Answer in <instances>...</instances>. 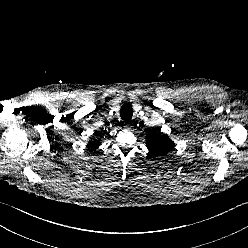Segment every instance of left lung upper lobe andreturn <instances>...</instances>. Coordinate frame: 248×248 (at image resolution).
Returning <instances> with one entry per match:
<instances>
[{"mask_svg": "<svg viewBox=\"0 0 248 248\" xmlns=\"http://www.w3.org/2000/svg\"><path fill=\"white\" fill-rule=\"evenodd\" d=\"M160 129H149L146 132V146L154 156H163L173 149L174 143L167 136L162 135Z\"/></svg>", "mask_w": 248, "mask_h": 248, "instance_id": "1", "label": "left lung upper lobe"}]
</instances>
